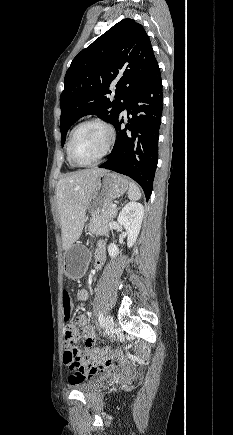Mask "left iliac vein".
I'll use <instances>...</instances> for the list:
<instances>
[{
    "label": "left iliac vein",
    "instance_id": "1",
    "mask_svg": "<svg viewBox=\"0 0 233 435\" xmlns=\"http://www.w3.org/2000/svg\"><path fill=\"white\" fill-rule=\"evenodd\" d=\"M114 328V319L111 315H108L105 319V332L106 334H111Z\"/></svg>",
    "mask_w": 233,
    "mask_h": 435
}]
</instances>
